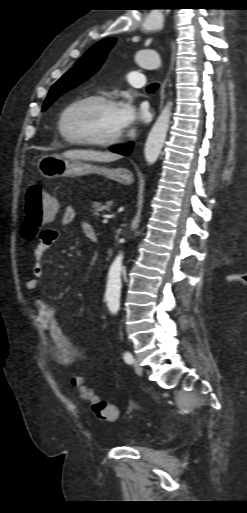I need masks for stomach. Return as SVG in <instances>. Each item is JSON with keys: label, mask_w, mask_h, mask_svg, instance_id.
Here are the masks:
<instances>
[{"label": "stomach", "mask_w": 247, "mask_h": 513, "mask_svg": "<svg viewBox=\"0 0 247 513\" xmlns=\"http://www.w3.org/2000/svg\"><path fill=\"white\" fill-rule=\"evenodd\" d=\"M38 170L48 179L98 174L124 185H130L133 182L132 173L125 168L111 169L81 160H69L56 154L43 156L39 160Z\"/></svg>", "instance_id": "0dacf381"}]
</instances>
